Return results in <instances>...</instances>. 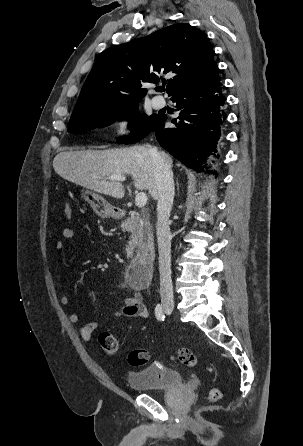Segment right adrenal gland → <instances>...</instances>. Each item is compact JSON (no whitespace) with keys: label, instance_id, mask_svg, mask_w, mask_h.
I'll return each mask as SVG.
<instances>
[{"label":"right adrenal gland","instance_id":"right-adrenal-gland-1","mask_svg":"<svg viewBox=\"0 0 303 446\" xmlns=\"http://www.w3.org/2000/svg\"><path fill=\"white\" fill-rule=\"evenodd\" d=\"M177 186H178V189H179V184H178V182H177Z\"/></svg>","mask_w":303,"mask_h":446}]
</instances>
